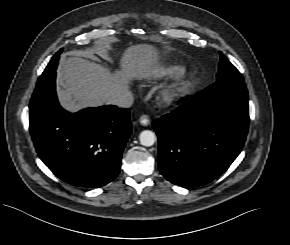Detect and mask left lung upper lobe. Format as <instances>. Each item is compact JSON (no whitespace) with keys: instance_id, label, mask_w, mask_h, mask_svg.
<instances>
[{"instance_id":"obj_1","label":"left lung upper lobe","mask_w":290,"mask_h":245,"mask_svg":"<svg viewBox=\"0 0 290 245\" xmlns=\"http://www.w3.org/2000/svg\"><path fill=\"white\" fill-rule=\"evenodd\" d=\"M221 81H244L241 73L220 53L219 71L217 82Z\"/></svg>"}]
</instances>
